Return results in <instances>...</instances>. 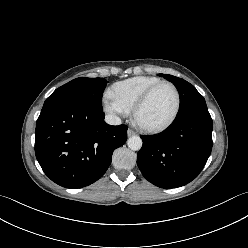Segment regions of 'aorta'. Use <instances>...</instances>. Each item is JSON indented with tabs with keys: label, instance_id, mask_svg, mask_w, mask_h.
<instances>
[{
	"label": "aorta",
	"instance_id": "aorta-1",
	"mask_svg": "<svg viewBox=\"0 0 248 248\" xmlns=\"http://www.w3.org/2000/svg\"><path fill=\"white\" fill-rule=\"evenodd\" d=\"M142 144H143L142 139L136 135L129 137L127 140L128 147L133 151L140 150L142 147Z\"/></svg>",
	"mask_w": 248,
	"mask_h": 248
}]
</instances>
